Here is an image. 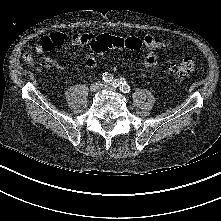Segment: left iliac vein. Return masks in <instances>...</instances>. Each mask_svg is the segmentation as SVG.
Wrapping results in <instances>:
<instances>
[{
	"instance_id": "left-iliac-vein-1",
	"label": "left iliac vein",
	"mask_w": 221,
	"mask_h": 221,
	"mask_svg": "<svg viewBox=\"0 0 221 221\" xmlns=\"http://www.w3.org/2000/svg\"><path fill=\"white\" fill-rule=\"evenodd\" d=\"M103 88H105V89H107V90H109V91H115V88H114L112 85H109V84H107V83H105V84L103 85Z\"/></svg>"
}]
</instances>
